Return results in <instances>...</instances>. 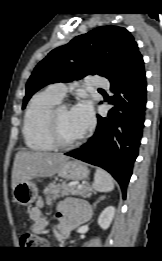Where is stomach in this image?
<instances>
[{
	"label": "stomach",
	"mask_w": 162,
	"mask_h": 261,
	"mask_svg": "<svg viewBox=\"0 0 162 261\" xmlns=\"http://www.w3.org/2000/svg\"><path fill=\"white\" fill-rule=\"evenodd\" d=\"M57 173L64 179L84 180L88 177L89 170L78 161L67 160L60 166ZM37 196L38 189L31 180L20 182L13 188V198L20 205L27 206L33 203Z\"/></svg>",
	"instance_id": "obj_1"
}]
</instances>
